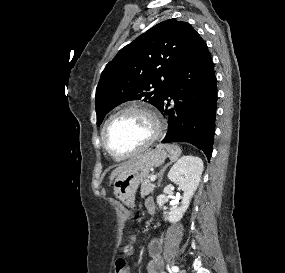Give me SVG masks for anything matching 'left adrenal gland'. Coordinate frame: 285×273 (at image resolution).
<instances>
[{
    "mask_svg": "<svg viewBox=\"0 0 285 273\" xmlns=\"http://www.w3.org/2000/svg\"><path fill=\"white\" fill-rule=\"evenodd\" d=\"M170 164H171V162L168 163V164H166V165L160 170V172H159V174H158V175H159L158 187L160 186V183H161V181H162V177H163V174H164L166 168H167Z\"/></svg>",
    "mask_w": 285,
    "mask_h": 273,
    "instance_id": "obj_1",
    "label": "left adrenal gland"
}]
</instances>
